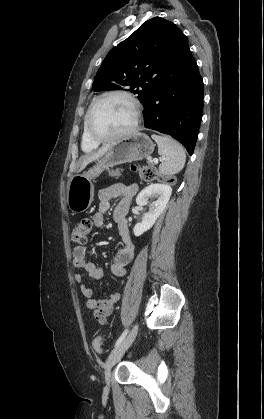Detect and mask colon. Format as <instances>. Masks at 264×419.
Returning <instances> with one entry per match:
<instances>
[{
    "label": "colon",
    "instance_id": "5ec220e1",
    "mask_svg": "<svg viewBox=\"0 0 264 419\" xmlns=\"http://www.w3.org/2000/svg\"><path fill=\"white\" fill-rule=\"evenodd\" d=\"M133 170L138 172L145 181L158 180L162 183H172V177L161 175L154 166L143 165L133 166ZM92 223L89 219H82L77 222L72 229V239L78 244H85L89 238ZM92 347L95 352H103L102 338L96 336L92 341Z\"/></svg>",
    "mask_w": 264,
    "mask_h": 419
}]
</instances>
